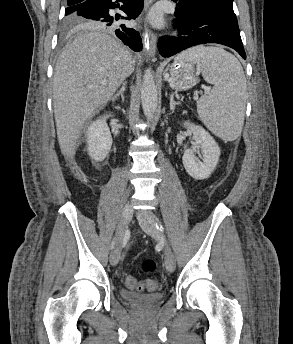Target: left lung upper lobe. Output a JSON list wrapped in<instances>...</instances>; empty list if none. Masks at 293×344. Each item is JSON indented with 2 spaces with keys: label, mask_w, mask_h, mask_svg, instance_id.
<instances>
[{
  "label": "left lung upper lobe",
  "mask_w": 293,
  "mask_h": 344,
  "mask_svg": "<svg viewBox=\"0 0 293 344\" xmlns=\"http://www.w3.org/2000/svg\"><path fill=\"white\" fill-rule=\"evenodd\" d=\"M182 6L197 8L202 14L213 16L232 29L239 31L233 0H180Z\"/></svg>",
  "instance_id": "1"
}]
</instances>
